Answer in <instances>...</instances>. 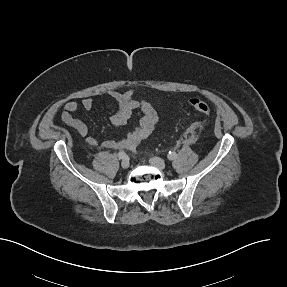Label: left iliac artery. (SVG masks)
Listing matches in <instances>:
<instances>
[{
	"instance_id": "obj_1",
	"label": "left iliac artery",
	"mask_w": 287,
	"mask_h": 287,
	"mask_svg": "<svg viewBox=\"0 0 287 287\" xmlns=\"http://www.w3.org/2000/svg\"><path fill=\"white\" fill-rule=\"evenodd\" d=\"M176 156H177L176 152H171V151H170V152L168 153V155H167V157H168L169 160L175 159Z\"/></svg>"
}]
</instances>
